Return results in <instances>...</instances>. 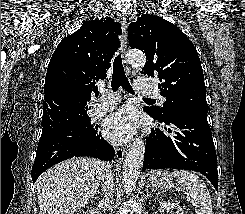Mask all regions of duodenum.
Listing matches in <instances>:
<instances>
[{
    "label": "duodenum",
    "mask_w": 245,
    "mask_h": 214,
    "mask_svg": "<svg viewBox=\"0 0 245 214\" xmlns=\"http://www.w3.org/2000/svg\"><path fill=\"white\" fill-rule=\"evenodd\" d=\"M93 214H99L98 212H93Z\"/></svg>",
    "instance_id": "obj_1"
}]
</instances>
